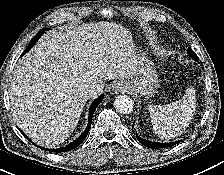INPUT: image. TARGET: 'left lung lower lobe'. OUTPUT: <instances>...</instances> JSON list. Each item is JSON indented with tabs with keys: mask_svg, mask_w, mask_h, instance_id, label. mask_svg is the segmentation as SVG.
<instances>
[{
	"mask_svg": "<svg viewBox=\"0 0 224 175\" xmlns=\"http://www.w3.org/2000/svg\"><path fill=\"white\" fill-rule=\"evenodd\" d=\"M134 126V123H133ZM137 140L144 146L149 147V148H166V147H172L175 144L179 143L180 141H175V142H169V143H159V142H152L145 140L139 136H136Z\"/></svg>",
	"mask_w": 224,
	"mask_h": 175,
	"instance_id": "1",
	"label": "left lung lower lobe"
}]
</instances>
